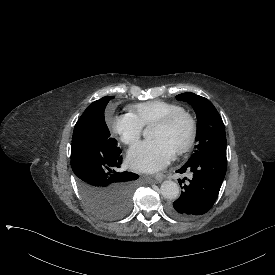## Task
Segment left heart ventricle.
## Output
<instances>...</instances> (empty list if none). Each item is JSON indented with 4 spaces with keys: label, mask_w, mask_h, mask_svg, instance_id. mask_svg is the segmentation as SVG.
Listing matches in <instances>:
<instances>
[{
    "label": "left heart ventricle",
    "mask_w": 275,
    "mask_h": 275,
    "mask_svg": "<svg viewBox=\"0 0 275 275\" xmlns=\"http://www.w3.org/2000/svg\"><path fill=\"white\" fill-rule=\"evenodd\" d=\"M187 135V122L180 120L172 129L167 130L156 125L152 132L151 139L163 140L175 149L182 143Z\"/></svg>",
    "instance_id": "obj_1"
}]
</instances>
